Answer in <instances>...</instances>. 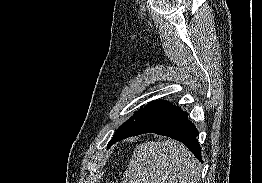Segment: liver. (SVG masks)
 <instances>
[{"instance_id": "6515ba94", "label": "liver", "mask_w": 262, "mask_h": 183, "mask_svg": "<svg viewBox=\"0 0 262 183\" xmlns=\"http://www.w3.org/2000/svg\"><path fill=\"white\" fill-rule=\"evenodd\" d=\"M200 164L180 142L147 141L133 151L123 183H194Z\"/></svg>"}]
</instances>
